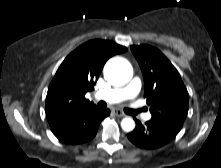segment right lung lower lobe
<instances>
[{"mask_svg":"<svg viewBox=\"0 0 221 168\" xmlns=\"http://www.w3.org/2000/svg\"><path fill=\"white\" fill-rule=\"evenodd\" d=\"M108 109L92 107L65 116L48 119L53 134L63 143L81 144L91 140Z\"/></svg>","mask_w":221,"mask_h":168,"instance_id":"98d812e1","label":"right lung lower lobe"}]
</instances>
